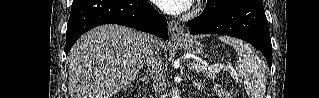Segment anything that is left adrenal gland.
I'll list each match as a JSON object with an SVG mask.
<instances>
[{
  "label": "left adrenal gland",
  "instance_id": "a2214340",
  "mask_svg": "<svg viewBox=\"0 0 319 98\" xmlns=\"http://www.w3.org/2000/svg\"><path fill=\"white\" fill-rule=\"evenodd\" d=\"M189 80L192 82V84H193L195 87H197V88H199V87H200V84H199V83L194 82L192 77H190V76H189Z\"/></svg>",
  "mask_w": 319,
  "mask_h": 98
}]
</instances>
